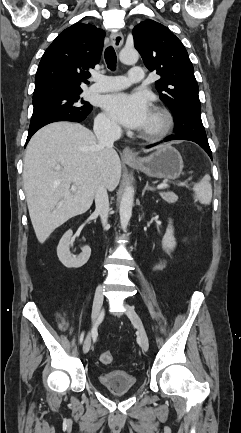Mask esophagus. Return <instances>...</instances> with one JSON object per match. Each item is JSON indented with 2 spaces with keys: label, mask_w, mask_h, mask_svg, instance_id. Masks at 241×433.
Returning a JSON list of instances; mask_svg holds the SVG:
<instances>
[{
  "label": "esophagus",
  "mask_w": 241,
  "mask_h": 433,
  "mask_svg": "<svg viewBox=\"0 0 241 433\" xmlns=\"http://www.w3.org/2000/svg\"><path fill=\"white\" fill-rule=\"evenodd\" d=\"M110 40H111L112 45L117 49L120 48L124 42L123 35L120 32L111 33ZM122 156L125 160H135L136 159V154L132 151V149L130 147L124 148V150L122 152Z\"/></svg>",
  "instance_id": "obj_1"
}]
</instances>
